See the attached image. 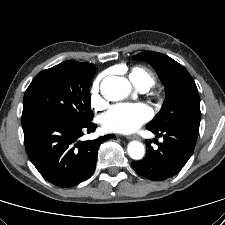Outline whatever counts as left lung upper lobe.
Segmentation results:
<instances>
[{"label": "left lung upper lobe", "instance_id": "1", "mask_svg": "<svg viewBox=\"0 0 225 225\" xmlns=\"http://www.w3.org/2000/svg\"><path fill=\"white\" fill-rule=\"evenodd\" d=\"M134 59L148 61L166 87L165 102L146 127L154 130L180 127L199 131L200 97L188 71L172 58L158 52L145 51L134 56Z\"/></svg>", "mask_w": 225, "mask_h": 225}]
</instances>
